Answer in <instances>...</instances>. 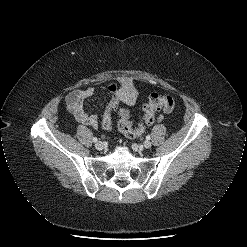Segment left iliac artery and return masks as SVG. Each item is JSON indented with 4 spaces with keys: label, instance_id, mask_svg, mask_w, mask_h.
I'll return each mask as SVG.
<instances>
[{
    "label": "left iliac artery",
    "instance_id": "obj_1",
    "mask_svg": "<svg viewBox=\"0 0 247 247\" xmlns=\"http://www.w3.org/2000/svg\"><path fill=\"white\" fill-rule=\"evenodd\" d=\"M146 139H147V140H150V139H151V135H147V136H146Z\"/></svg>",
    "mask_w": 247,
    "mask_h": 247
}]
</instances>
